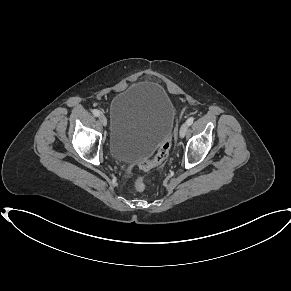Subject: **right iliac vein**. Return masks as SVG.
I'll use <instances>...</instances> for the list:
<instances>
[{"label": "right iliac vein", "mask_w": 291, "mask_h": 291, "mask_svg": "<svg viewBox=\"0 0 291 291\" xmlns=\"http://www.w3.org/2000/svg\"><path fill=\"white\" fill-rule=\"evenodd\" d=\"M99 120L104 126L107 125V119L103 114L99 115Z\"/></svg>", "instance_id": "63e3f726"}]
</instances>
